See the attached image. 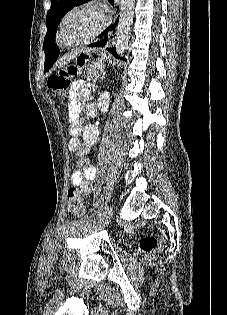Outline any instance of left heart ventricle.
<instances>
[{
    "mask_svg": "<svg viewBox=\"0 0 227 315\" xmlns=\"http://www.w3.org/2000/svg\"><path fill=\"white\" fill-rule=\"evenodd\" d=\"M99 18L90 11H79L72 14L65 23L62 41H76L89 34L97 26Z\"/></svg>",
    "mask_w": 227,
    "mask_h": 315,
    "instance_id": "obj_1",
    "label": "left heart ventricle"
}]
</instances>
